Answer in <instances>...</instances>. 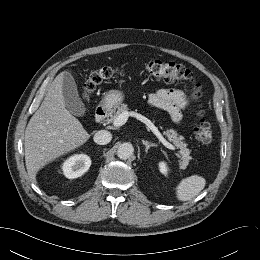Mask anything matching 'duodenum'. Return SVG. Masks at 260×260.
Wrapping results in <instances>:
<instances>
[{
	"label": "duodenum",
	"instance_id": "obj_1",
	"mask_svg": "<svg viewBox=\"0 0 260 260\" xmlns=\"http://www.w3.org/2000/svg\"><path fill=\"white\" fill-rule=\"evenodd\" d=\"M109 115V106L102 105L96 109L94 120L99 123L104 121Z\"/></svg>",
	"mask_w": 260,
	"mask_h": 260
}]
</instances>
